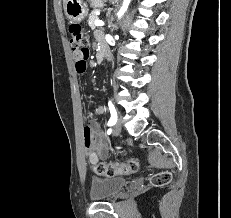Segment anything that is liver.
<instances>
[{
    "label": "liver",
    "mask_w": 231,
    "mask_h": 218,
    "mask_svg": "<svg viewBox=\"0 0 231 218\" xmlns=\"http://www.w3.org/2000/svg\"><path fill=\"white\" fill-rule=\"evenodd\" d=\"M67 1H68V0H63V7H64V10H65V6H66Z\"/></svg>",
    "instance_id": "1"
}]
</instances>
